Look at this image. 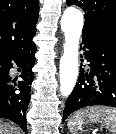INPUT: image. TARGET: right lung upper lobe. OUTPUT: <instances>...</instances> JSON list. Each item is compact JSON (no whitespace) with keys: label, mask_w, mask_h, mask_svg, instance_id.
Listing matches in <instances>:
<instances>
[{"label":"right lung upper lobe","mask_w":116,"mask_h":134,"mask_svg":"<svg viewBox=\"0 0 116 134\" xmlns=\"http://www.w3.org/2000/svg\"><path fill=\"white\" fill-rule=\"evenodd\" d=\"M38 0H0V61L36 34Z\"/></svg>","instance_id":"cb5924a9"}]
</instances>
